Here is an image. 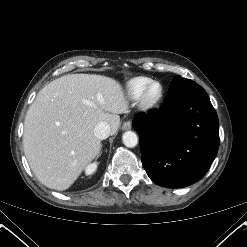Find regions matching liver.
<instances>
[{
	"mask_svg": "<svg viewBox=\"0 0 247 247\" xmlns=\"http://www.w3.org/2000/svg\"><path fill=\"white\" fill-rule=\"evenodd\" d=\"M128 112L122 85L96 74L64 75L50 82L29 107L23 134L28 163L46 187L68 189L94 160L101 140L95 126L105 121L110 134Z\"/></svg>",
	"mask_w": 247,
	"mask_h": 247,
	"instance_id": "6515ba94",
	"label": "liver"
}]
</instances>
